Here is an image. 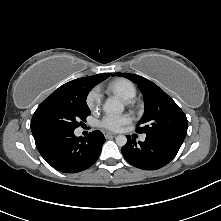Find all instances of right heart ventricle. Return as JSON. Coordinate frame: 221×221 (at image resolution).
<instances>
[{
	"label": "right heart ventricle",
	"mask_w": 221,
	"mask_h": 221,
	"mask_svg": "<svg viewBox=\"0 0 221 221\" xmlns=\"http://www.w3.org/2000/svg\"><path fill=\"white\" fill-rule=\"evenodd\" d=\"M108 89L124 101H131L137 94L134 83L125 78H118L111 81L108 84Z\"/></svg>",
	"instance_id": "obj_1"
}]
</instances>
